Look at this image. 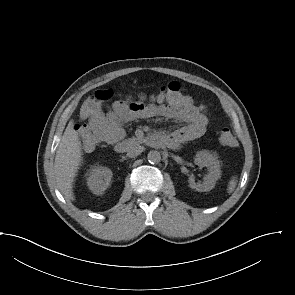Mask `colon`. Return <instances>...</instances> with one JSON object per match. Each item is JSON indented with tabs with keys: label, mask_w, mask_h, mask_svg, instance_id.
<instances>
[{
	"label": "colon",
	"mask_w": 295,
	"mask_h": 295,
	"mask_svg": "<svg viewBox=\"0 0 295 295\" xmlns=\"http://www.w3.org/2000/svg\"><path fill=\"white\" fill-rule=\"evenodd\" d=\"M162 91L180 101H187L190 99L184 94L181 85L175 81L163 86ZM111 97L112 91L99 90L88 96L81 106L80 117L83 120V123L80 124L77 129L79 130L84 145L87 148H92L102 141L103 131L96 128H89L86 123L94 113L101 110L103 103L108 101ZM219 141L222 145L227 147H235L237 145V140L233 132L228 128H224L220 131Z\"/></svg>",
	"instance_id": "1"
}]
</instances>
